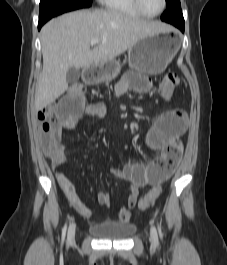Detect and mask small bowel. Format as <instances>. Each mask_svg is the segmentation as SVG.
I'll use <instances>...</instances> for the list:
<instances>
[{
  "label": "small bowel",
  "mask_w": 227,
  "mask_h": 265,
  "mask_svg": "<svg viewBox=\"0 0 227 265\" xmlns=\"http://www.w3.org/2000/svg\"><path fill=\"white\" fill-rule=\"evenodd\" d=\"M150 81L140 72H127L115 87V96L120 97L128 91L145 93L150 90ZM86 91H79V87H72V91H65V96L58 99L56 116L57 124L51 126L48 133L49 143L45 145L44 152L50 159L51 167L59 187L64 192L73 208L82 216L91 218L92 212L80 198L72 181L59 167L66 161L65 147L61 142L64 129H73L84 115L99 116L104 111L102 104L89 105L85 99ZM186 114L181 110H168L159 114L153 121L146 135L147 146L154 151L161 152L162 156L168 150L178 149L180 136L186 128ZM159 158L148 163H132L115 167L111 170L114 177L124 180L129 184V193L126 205L118 210V221L128 223L131 219V210L136 206L139 191L147 185H158L164 181L171 172L159 165ZM97 201L104 207H109L111 198L108 192L101 191L97 194Z\"/></svg>",
  "instance_id": "1"
}]
</instances>
